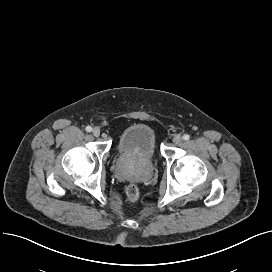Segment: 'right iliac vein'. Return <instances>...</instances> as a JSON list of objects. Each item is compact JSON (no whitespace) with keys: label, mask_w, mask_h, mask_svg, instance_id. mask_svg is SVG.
Masks as SVG:
<instances>
[{"label":"right iliac vein","mask_w":272,"mask_h":272,"mask_svg":"<svg viewBox=\"0 0 272 272\" xmlns=\"http://www.w3.org/2000/svg\"><path fill=\"white\" fill-rule=\"evenodd\" d=\"M92 134H93L95 137L100 136V129L94 128L93 131H92Z\"/></svg>","instance_id":"63e3f726"}]
</instances>
